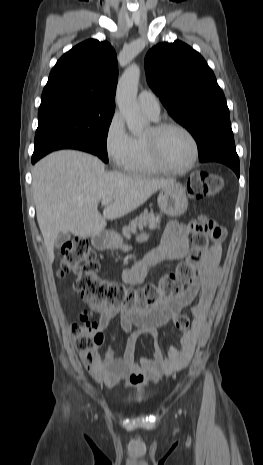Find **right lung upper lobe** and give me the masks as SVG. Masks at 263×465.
<instances>
[{
    "instance_id": "right-lung-upper-lobe-1",
    "label": "right lung upper lobe",
    "mask_w": 263,
    "mask_h": 465,
    "mask_svg": "<svg viewBox=\"0 0 263 465\" xmlns=\"http://www.w3.org/2000/svg\"><path fill=\"white\" fill-rule=\"evenodd\" d=\"M117 56L104 41L86 40L65 53L50 72L41 103L81 100L115 107Z\"/></svg>"
}]
</instances>
